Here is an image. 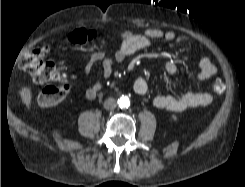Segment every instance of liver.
<instances>
[{
  "label": "liver",
  "mask_w": 245,
  "mask_h": 187,
  "mask_svg": "<svg viewBox=\"0 0 245 187\" xmlns=\"http://www.w3.org/2000/svg\"><path fill=\"white\" fill-rule=\"evenodd\" d=\"M20 96H21L22 102L29 109L31 105V100H32L31 90L27 87H23L20 91Z\"/></svg>",
  "instance_id": "6515ba94"
}]
</instances>
